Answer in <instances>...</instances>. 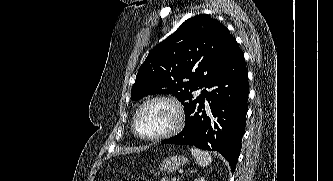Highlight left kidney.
<instances>
[{
    "label": "left kidney",
    "instance_id": "left-kidney-1",
    "mask_svg": "<svg viewBox=\"0 0 333 181\" xmlns=\"http://www.w3.org/2000/svg\"><path fill=\"white\" fill-rule=\"evenodd\" d=\"M194 181H206L205 180V178L204 177H199V178H197L196 180H194Z\"/></svg>",
    "mask_w": 333,
    "mask_h": 181
}]
</instances>
